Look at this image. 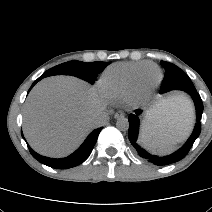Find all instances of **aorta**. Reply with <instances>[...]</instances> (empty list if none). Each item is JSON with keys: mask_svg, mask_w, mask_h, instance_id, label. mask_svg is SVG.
<instances>
[{"mask_svg": "<svg viewBox=\"0 0 212 212\" xmlns=\"http://www.w3.org/2000/svg\"><path fill=\"white\" fill-rule=\"evenodd\" d=\"M116 127L121 131H127L129 128V121L125 117L118 118L116 122Z\"/></svg>", "mask_w": 212, "mask_h": 212, "instance_id": "obj_1", "label": "aorta"}]
</instances>
